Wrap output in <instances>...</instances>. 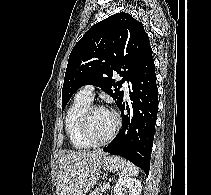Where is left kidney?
<instances>
[{"label":"left kidney","mask_w":211,"mask_h":195,"mask_svg":"<svg viewBox=\"0 0 211 195\" xmlns=\"http://www.w3.org/2000/svg\"><path fill=\"white\" fill-rule=\"evenodd\" d=\"M141 182L136 178H120L113 190V195H140ZM125 192V193H123Z\"/></svg>","instance_id":"5707ae66"}]
</instances>
